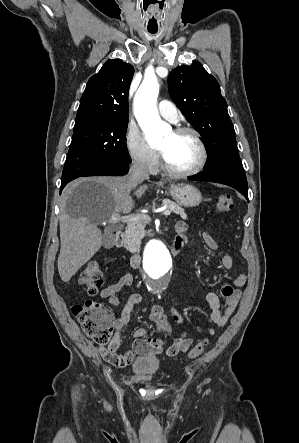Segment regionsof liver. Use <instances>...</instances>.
Segmentation results:
<instances>
[{
  "mask_svg": "<svg viewBox=\"0 0 299 443\" xmlns=\"http://www.w3.org/2000/svg\"><path fill=\"white\" fill-rule=\"evenodd\" d=\"M128 181V176L82 178L63 191L58 257L62 281L68 282L101 248L103 237L98 224L108 222L114 214H126L133 209ZM147 188L148 185H141L134 195L140 198Z\"/></svg>",
  "mask_w": 299,
  "mask_h": 443,
  "instance_id": "obj_1",
  "label": "liver"
}]
</instances>
